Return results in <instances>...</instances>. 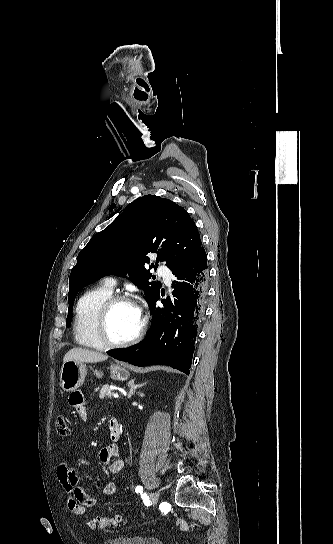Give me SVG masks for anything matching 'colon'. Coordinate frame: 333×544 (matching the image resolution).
I'll return each mask as SVG.
<instances>
[{
  "label": "colon",
  "instance_id": "colon-1",
  "mask_svg": "<svg viewBox=\"0 0 333 544\" xmlns=\"http://www.w3.org/2000/svg\"><path fill=\"white\" fill-rule=\"evenodd\" d=\"M55 430L58 435L69 436L71 430L67 423V420L64 416H58L55 420ZM122 522V516L116 514L112 517H107L103 515H95L93 519L89 522V527L92 530H104L107 528H113L119 526Z\"/></svg>",
  "mask_w": 333,
  "mask_h": 544
}]
</instances>
